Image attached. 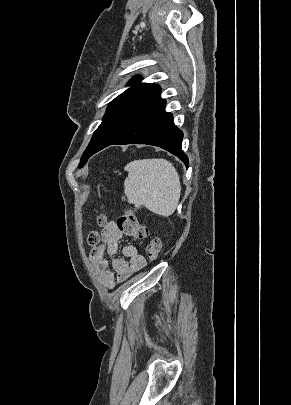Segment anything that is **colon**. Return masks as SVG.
<instances>
[{
  "label": "colon",
  "instance_id": "colon-1",
  "mask_svg": "<svg viewBox=\"0 0 291 405\" xmlns=\"http://www.w3.org/2000/svg\"><path fill=\"white\" fill-rule=\"evenodd\" d=\"M99 223L103 224L104 219L99 218ZM118 229L136 239H144L148 236V229L139 222L137 216L131 209H126L117 219ZM87 242L90 246L96 247L100 243V234L97 231H91L87 236ZM161 250V241L159 238H153L145 248V253L149 262L157 260Z\"/></svg>",
  "mask_w": 291,
  "mask_h": 405
}]
</instances>
